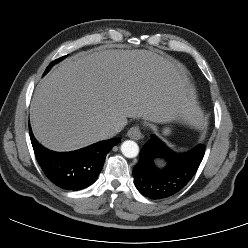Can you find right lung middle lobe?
<instances>
[{
    "label": "right lung middle lobe",
    "instance_id": "obj_1",
    "mask_svg": "<svg viewBox=\"0 0 248 248\" xmlns=\"http://www.w3.org/2000/svg\"><path fill=\"white\" fill-rule=\"evenodd\" d=\"M65 57H66V56L61 57V58H59V59L53 61V62L47 67V69H46V71H45L44 74H46V73L49 71L50 67H51L54 63H56V62H58V61H61V60L64 59Z\"/></svg>",
    "mask_w": 248,
    "mask_h": 248
}]
</instances>
